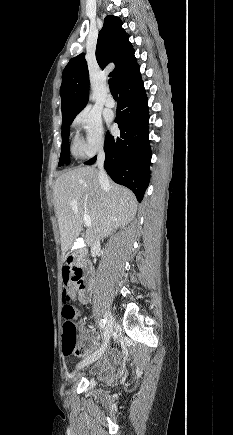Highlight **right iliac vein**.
Listing matches in <instances>:
<instances>
[{
	"mask_svg": "<svg viewBox=\"0 0 233 435\" xmlns=\"http://www.w3.org/2000/svg\"><path fill=\"white\" fill-rule=\"evenodd\" d=\"M105 318H106V327H105L104 342H103L102 348H100V350L95 352L93 355H91L88 358H86L85 360H83L78 365V368L84 367V366L94 362L95 360H97L102 355L103 349H105L108 346L109 339H110L111 334L113 332L114 318H113L112 314L108 311L105 313Z\"/></svg>",
	"mask_w": 233,
	"mask_h": 435,
	"instance_id": "1",
	"label": "right iliac vein"
}]
</instances>
